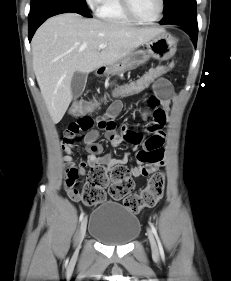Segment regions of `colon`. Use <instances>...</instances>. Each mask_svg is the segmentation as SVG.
I'll return each mask as SVG.
<instances>
[{"label": "colon", "instance_id": "5ec220e1", "mask_svg": "<svg viewBox=\"0 0 231 281\" xmlns=\"http://www.w3.org/2000/svg\"><path fill=\"white\" fill-rule=\"evenodd\" d=\"M172 66V64H168L152 67L136 79L116 86L111 92V96L127 98L138 95L170 71ZM96 104V102L79 101L73 104L72 112L82 114L94 108ZM107 187H109V193L114 199L126 197L124 205L130 211L138 212L143 208H152L159 202L164 193L165 177L162 172H157L150 177L147 186L140 193L130 194L134 188V182L127 167L116 166L108 171L102 166H96L90 169L84 184L81 185L79 182L75 184L73 192L84 203L93 205L104 200Z\"/></svg>", "mask_w": 231, "mask_h": 281}]
</instances>
